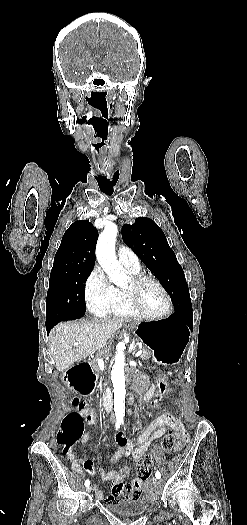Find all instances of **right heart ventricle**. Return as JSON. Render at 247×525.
I'll use <instances>...</instances> for the list:
<instances>
[{"instance_id": "1", "label": "right heart ventricle", "mask_w": 247, "mask_h": 525, "mask_svg": "<svg viewBox=\"0 0 247 525\" xmlns=\"http://www.w3.org/2000/svg\"><path fill=\"white\" fill-rule=\"evenodd\" d=\"M124 268L127 270L130 280L132 277H137L140 275V269L138 264L135 265H126L123 264ZM103 317H146L139 313L136 308L128 305H113L109 311Z\"/></svg>"}]
</instances>
